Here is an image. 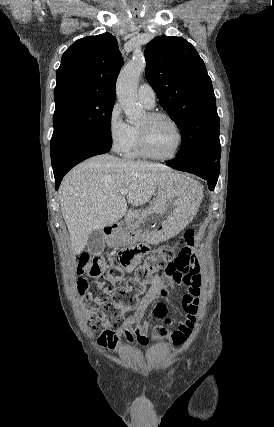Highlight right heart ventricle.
<instances>
[{
	"label": "right heart ventricle",
	"instance_id": "1",
	"mask_svg": "<svg viewBox=\"0 0 274 427\" xmlns=\"http://www.w3.org/2000/svg\"><path fill=\"white\" fill-rule=\"evenodd\" d=\"M123 156L130 160H139L143 158L137 145L136 127H131V138L127 147L123 151Z\"/></svg>",
	"mask_w": 274,
	"mask_h": 427
}]
</instances>
